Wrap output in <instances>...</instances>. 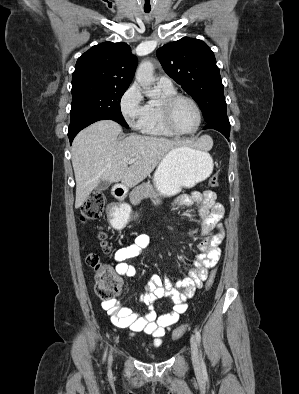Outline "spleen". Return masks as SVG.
Wrapping results in <instances>:
<instances>
[{"mask_svg": "<svg viewBox=\"0 0 299 394\" xmlns=\"http://www.w3.org/2000/svg\"><path fill=\"white\" fill-rule=\"evenodd\" d=\"M204 140L207 143V148H211L212 146V140L209 137H204Z\"/></svg>", "mask_w": 299, "mask_h": 394, "instance_id": "1", "label": "spleen"}]
</instances>
